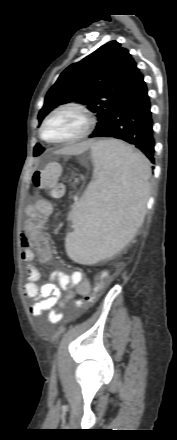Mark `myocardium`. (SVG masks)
Instances as JSON below:
<instances>
[{
  "instance_id": "1",
  "label": "myocardium",
  "mask_w": 177,
  "mask_h": 440,
  "mask_svg": "<svg viewBox=\"0 0 177 440\" xmlns=\"http://www.w3.org/2000/svg\"><path fill=\"white\" fill-rule=\"evenodd\" d=\"M60 112H73L76 113L77 115H79L83 121H84V127L81 129V131H79L76 135H73L71 137L68 138H64V139H60V140H48L45 135H44V129L48 123V121L57 113ZM94 125V121L92 119V117L89 115V113L79 107V106H75V105H64V106H60L54 110H52L43 120L40 129H39V136L40 138L48 143V144H52V145H60V144H68V143H73V142H77L80 141L82 139H84L85 137L88 136V134L91 132L92 128Z\"/></svg>"
}]
</instances>
